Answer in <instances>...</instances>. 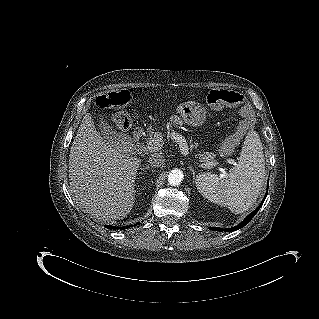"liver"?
<instances>
[{"mask_svg": "<svg viewBox=\"0 0 319 319\" xmlns=\"http://www.w3.org/2000/svg\"><path fill=\"white\" fill-rule=\"evenodd\" d=\"M69 157L70 186L86 212L103 220L122 219L131 212L141 161L99 132L89 114L82 120Z\"/></svg>", "mask_w": 319, "mask_h": 319, "instance_id": "6515ba94", "label": "liver"}]
</instances>
